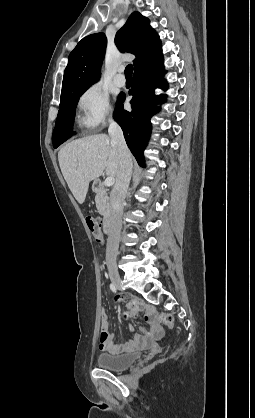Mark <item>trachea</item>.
Listing matches in <instances>:
<instances>
[{"label": "trachea", "mask_w": 255, "mask_h": 418, "mask_svg": "<svg viewBox=\"0 0 255 418\" xmlns=\"http://www.w3.org/2000/svg\"><path fill=\"white\" fill-rule=\"evenodd\" d=\"M132 72H133V66L132 64H128L125 68V76L132 77Z\"/></svg>", "instance_id": "1"}]
</instances>
